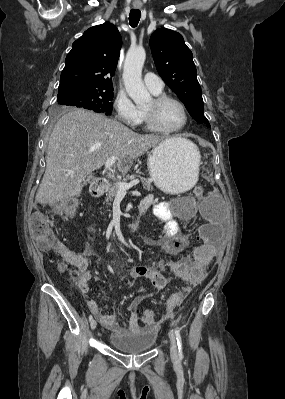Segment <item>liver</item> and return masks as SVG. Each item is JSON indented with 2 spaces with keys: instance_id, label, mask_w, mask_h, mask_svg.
<instances>
[{
  "instance_id": "obj_1",
  "label": "liver",
  "mask_w": 285,
  "mask_h": 399,
  "mask_svg": "<svg viewBox=\"0 0 285 399\" xmlns=\"http://www.w3.org/2000/svg\"><path fill=\"white\" fill-rule=\"evenodd\" d=\"M138 134L122 123L83 109L64 114L50 135L46 170L36 194L40 204L67 202L81 194L92 171L117 157L119 171L166 140Z\"/></svg>"
}]
</instances>
